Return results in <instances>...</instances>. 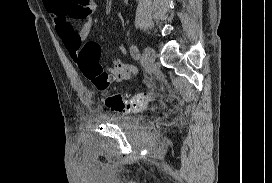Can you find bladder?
Here are the masks:
<instances>
[{"instance_id": "31cf9c89", "label": "bladder", "mask_w": 272, "mask_h": 183, "mask_svg": "<svg viewBox=\"0 0 272 183\" xmlns=\"http://www.w3.org/2000/svg\"><path fill=\"white\" fill-rule=\"evenodd\" d=\"M104 122L121 127L123 129H132L137 127L141 119L139 117L127 116L121 114H112L103 119Z\"/></svg>"}]
</instances>
